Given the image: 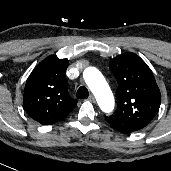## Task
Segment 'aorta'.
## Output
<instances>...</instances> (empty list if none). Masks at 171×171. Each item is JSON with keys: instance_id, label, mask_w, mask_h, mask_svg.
Instances as JSON below:
<instances>
[{"instance_id": "obj_1", "label": "aorta", "mask_w": 171, "mask_h": 171, "mask_svg": "<svg viewBox=\"0 0 171 171\" xmlns=\"http://www.w3.org/2000/svg\"><path fill=\"white\" fill-rule=\"evenodd\" d=\"M84 79L95 95L100 108L106 112H112L114 108V97L101 72L95 67H88L83 73Z\"/></svg>"}]
</instances>
